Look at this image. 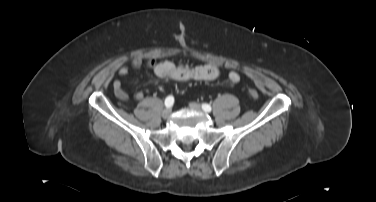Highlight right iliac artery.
<instances>
[{
	"mask_svg": "<svg viewBox=\"0 0 376 202\" xmlns=\"http://www.w3.org/2000/svg\"><path fill=\"white\" fill-rule=\"evenodd\" d=\"M173 104H174V97L170 95V96H168V97L165 99V106H166L167 108H170V107L173 106Z\"/></svg>",
	"mask_w": 376,
	"mask_h": 202,
	"instance_id": "right-iliac-artery-1",
	"label": "right iliac artery"
}]
</instances>
